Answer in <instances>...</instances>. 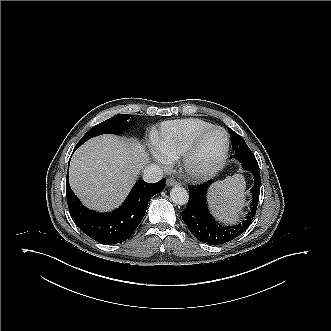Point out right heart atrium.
<instances>
[{"mask_svg": "<svg viewBox=\"0 0 331 331\" xmlns=\"http://www.w3.org/2000/svg\"><path fill=\"white\" fill-rule=\"evenodd\" d=\"M151 154L153 159L163 166H169L170 160L169 157L166 156L160 149H158L156 146L151 148Z\"/></svg>", "mask_w": 331, "mask_h": 331, "instance_id": "d8ad5b80", "label": "right heart atrium"}]
</instances>
